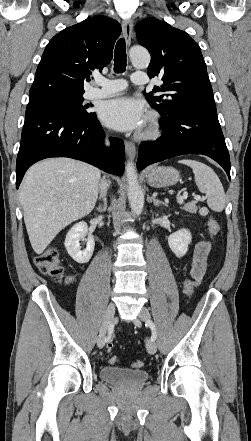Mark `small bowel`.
<instances>
[{
	"mask_svg": "<svg viewBox=\"0 0 251 441\" xmlns=\"http://www.w3.org/2000/svg\"><path fill=\"white\" fill-rule=\"evenodd\" d=\"M211 250V243L208 240L199 241L191 255V275L196 283H200L208 268V256Z\"/></svg>",
	"mask_w": 251,
	"mask_h": 441,
	"instance_id": "c3829d8e",
	"label": "small bowel"
}]
</instances>
